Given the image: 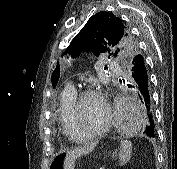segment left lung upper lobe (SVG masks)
<instances>
[{
    "instance_id": "left-lung-upper-lobe-1",
    "label": "left lung upper lobe",
    "mask_w": 177,
    "mask_h": 169,
    "mask_svg": "<svg viewBox=\"0 0 177 169\" xmlns=\"http://www.w3.org/2000/svg\"><path fill=\"white\" fill-rule=\"evenodd\" d=\"M85 51L92 52L95 56L108 52L127 62L139 54L129 27L119 17L108 12L91 16L62 56L70 53L75 57ZM52 84L55 87L57 80H52Z\"/></svg>"
}]
</instances>
